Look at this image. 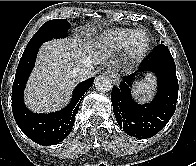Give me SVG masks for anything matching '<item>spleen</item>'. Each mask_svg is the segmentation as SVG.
<instances>
[{"instance_id": "obj_1", "label": "spleen", "mask_w": 196, "mask_h": 166, "mask_svg": "<svg viewBox=\"0 0 196 166\" xmlns=\"http://www.w3.org/2000/svg\"><path fill=\"white\" fill-rule=\"evenodd\" d=\"M155 86L154 77L148 75L143 81L139 82L134 94L136 96H141L142 98H147L152 96Z\"/></svg>"}]
</instances>
